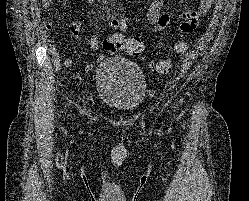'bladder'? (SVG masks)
Segmentation results:
<instances>
[{
  "label": "bladder",
  "mask_w": 249,
  "mask_h": 201,
  "mask_svg": "<svg viewBox=\"0 0 249 201\" xmlns=\"http://www.w3.org/2000/svg\"><path fill=\"white\" fill-rule=\"evenodd\" d=\"M99 99L110 108L129 113L136 110L146 94V78L128 58L115 56L101 61L95 73Z\"/></svg>",
  "instance_id": "31cf9c89"
}]
</instances>
